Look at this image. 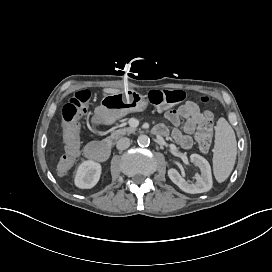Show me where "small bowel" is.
<instances>
[{"label":"small bowel","instance_id":"1","mask_svg":"<svg viewBox=\"0 0 272 272\" xmlns=\"http://www.w3.org/2000/svg\"><path fill=\"white\" fill-rule=\"evenodd\" d=\"M200 114L199 106L191 100L185 101L177 109L165 110V118L172 126L171 136L184 149L192 147L193 134L202 129L197 124ZM153 132L156 135H166L169 132V128L166 124L160 123L154 127Z\"/></svg>","mask_w":272,"mask_h":272}]
</instances>
